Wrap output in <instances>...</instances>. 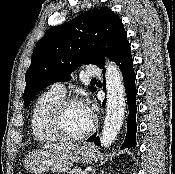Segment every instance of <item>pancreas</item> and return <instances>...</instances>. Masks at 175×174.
<instances>
[{
    "instance_id": "pancreas-1",
    "label": "pancreas",
    "mask_w": 175,
    "mask_h": 174,
    "mask_svg": "<svg viewBox=\"0 0 175 174\" xmlns=\"http://www.w3.org/2000/svg\"><path fill=\"white\" fill-rule=\"evenodd\" d=\"M82 170L80 167H76L74 169H72L69 174H81Z\"/></svg>"
}]
</instances>
